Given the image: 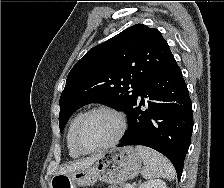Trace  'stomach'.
I'll use <instances>...</instances> for the list:
<instances>
[{"label": "stomach", "mask_w": 224, "mask_h": 188, "mask_svg": "<svg viewBox=\"0 0 224 188\" xmlns=\"http://www.w3.org/2000/svg\"><path fill=\"white\" fill-rule=\"evenodd\" d=\"M142 157L131 146L114 148L102 154L91 166L65 174H56L50 188L90 186L100 180L111 185L135 178L141 170Z\"/></svg>", "instance_id": "1"}]
</instances>
